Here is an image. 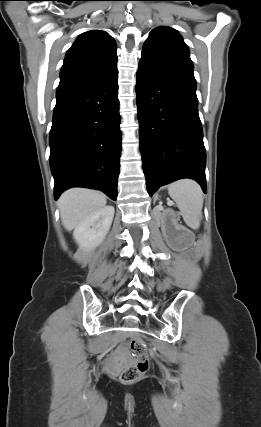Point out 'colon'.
Here are the masks:
<instances>
[{"mask_svg":"<svg viewBox=\"0 0 261 427\" xmlns=\"http://www.w3.org/2000/svg\"><path fill=\"white\" fill-rule=\"evenodd\" d=\"M130 350L135 359V364L126 368L120 374L124 383H133L139 380L149 369V355L145 342L140 338H134L130 342Z\"/></svg>","mask_w":261,"mask_h":427,"instance_id":"colon-1","label":"colon"}]
</instances>
